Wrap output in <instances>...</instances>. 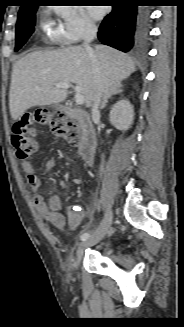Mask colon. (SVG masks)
<instances>
[{"mask_svg": "<svg viewBox=\"0 0 184 327\" xmlns=\"http://www.w3.org/2000/svg\"><path fill=\"white\" fill-rule=\"evenodd\" d=\"M47 127L52 135L66 144L77 146L81 136L78 126L63 110L38 109L26 114L13 126L12 145L17 157L27 161L38 151L35 126Z\"/></svg>", "mask_w": 184, "mask_h": 327, "instance_id": "obj_1", "label": "colon"}]
</instances>
